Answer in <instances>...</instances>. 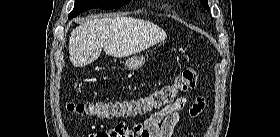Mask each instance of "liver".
<instances>
[{"label":"liver","instance_id":"obj_1","mask_svg":"<svg viewBox=\"0 0 280 137\" xmlns=\"http://www.w3.org/2000/svg\"><path fill=\"white\" fill-rule=\"evenodd\" d=\"M167 37L156 24L131 17L95 18L79 25L69 38L70 61L84 67L107 55L125 57L143 51Z\"/></svg>","mask_w":280,"mask_h":137}]
</instances>
